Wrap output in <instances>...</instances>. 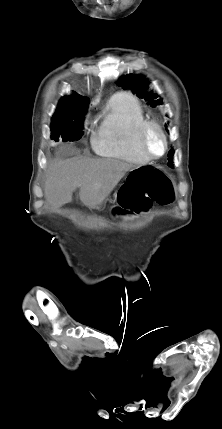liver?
<instances>
[{
	"label": "liver",
	"mask_w": 222,
	"mask_h": 429,
	"mask_svg": "<svg viewBox=\"0 0 222 429\" xmlns=\"http://www.w3.org/2000/svg\"><path fill=\"white\" fill-rule=\"evenodd\" d=\"M135 166L110 158H70L53 161L46 172L44 195L52 210L72 201L80 188V201L89 208H98L110 195L126 172Z\"/></svg>",
	"instance_id": "6515ba94"
}]
</instances>
